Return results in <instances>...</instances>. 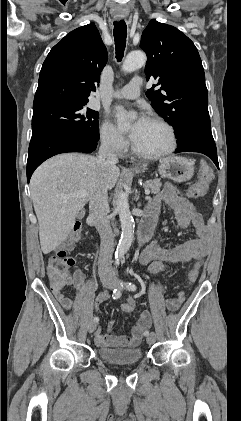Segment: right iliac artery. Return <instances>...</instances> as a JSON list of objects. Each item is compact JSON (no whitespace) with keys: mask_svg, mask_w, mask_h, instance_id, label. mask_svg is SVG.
I'll use <instances>...</instances> for the list:
<instances>
[{"mask_svg":"<svg viewBox=\"0 0 241 421\" xmlns=\"http://www.w3.org/2000/svg\"><path fill=\"white\" fill-rule=\"evenodd\" d=\"M120 296H121L120 291L117 290V289H114L113 292H112L113 299H118V298H120ZM93 320H94V322H98L99 321V318L98 317H94Z\"/></svg>","mask_w":241,"mask_h":421,"instance_id":"82829eb1","label":"right iliac artery"}]
</instances>
